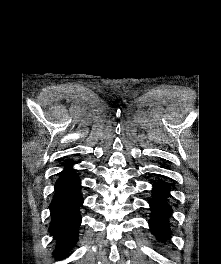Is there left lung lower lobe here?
<instances>
[{"mask_svg":"<svg viewBox=\"0 0 221 264\" xmlns=\"http://www.w3.org/2000/svg\"><path fill=\"white\" fill-rule=\"evenodd\" d=\"M154 198L149 204L152 211V218L149 221V226L155 235L160 237V240L167 239L170 235L168 224V216L171 213V207L165 201L168 196L169 188L164 183H156L153 188Z\"/></svg>","mask_w":221,"mask_h":264,"instance_id":"1","label":"left lung lower lobe"}]
</instances>
